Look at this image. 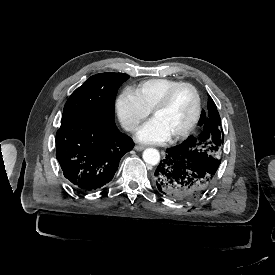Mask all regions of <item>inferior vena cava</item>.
<instances>
[{"label": "inferior vena cava", "mask_w": 275, "mask_h": 275, "mask_svg": "<svg viewBox=\"0 0 275 275\" xmlns=\"http://www.w3.org/2000/svg\"><path fill=\"white\" fill-rule=\"evenodd\" d=\"M126 128H127V130H131V129L134 128V125H129V126H127Z\"/></svg>", "instance_id": "602c4592"}]
</instances>
